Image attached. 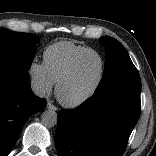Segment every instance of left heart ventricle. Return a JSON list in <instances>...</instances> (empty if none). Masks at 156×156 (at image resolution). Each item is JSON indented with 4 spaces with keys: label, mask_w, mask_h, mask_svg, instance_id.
I'll return each mask as SVG.
<instances>
[{
    "label": "left heart ventricle",
    "mask_w": 156,
    "mask_h": 156,
    "mask_svg": "<svg viewBox=\"0 0 156 156\" xmlns=\"http://www.w3.org/2000/svg\"><path fill=\"white\" fill-rule=\"evenodd\" d=\"M101 63L95 54H89L78 63L72 77L62 86L60 96L65 101H75L87 94L100 76Z\"/></svg>",
    "instance_id": "b2bd125f"
}]
</instances>
